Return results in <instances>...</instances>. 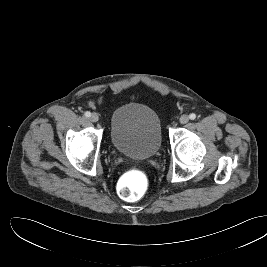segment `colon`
<instances>
[{
    "label": "colon",
    "mask_w": 267,
    "mask_h": 267,
    "mask_svg": "<svg viewBox=\"0 0 267 267\" xmlns=\"http://www.w3.org/2000/svg\"><path fill=\"white\" fill-rule=\"evenodd\" d=\"M147 186L146 174L142 170L132 169L121 177L118 184V193L126 201H136L144 195Z\"/></svg>",
    "instance_id": "1"
}]
</instances>
